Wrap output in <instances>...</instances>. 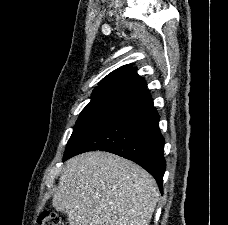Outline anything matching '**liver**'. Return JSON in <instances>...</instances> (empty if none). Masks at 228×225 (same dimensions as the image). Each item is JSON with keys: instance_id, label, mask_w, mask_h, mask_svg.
Returning <instances> with one entry per match:
<instances>
[{"instance_id": "1", "label": "liver", "mask_w": 228, "mask_h": 225, "mask_svg": "<svg viewBox=\"0 0 228 225\" xmlns=\"http://www.w3.org/2000/svg\"><path fill=\"white\" fill-rule=\"evenodd\" d=\"M159 191L132 161L91 151L69 159L52 201L69 225H149Z\"/></svg>"}]
</instances>
